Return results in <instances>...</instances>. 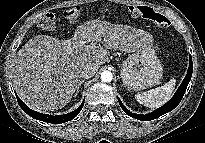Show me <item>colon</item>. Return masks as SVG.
<instances>
[{"label": "colon", "mask_w": 205, "mask_h": 143, "mask_svg": "<svg viewBox=\"0 0 205 143\" xmlns=\"http://www.w3.org/2000/svg\"><path fill=\"white\" fill-rule=\"evenodd\" d=\"M129 13L134 18H141L149 20L160 27H168L170 25V21L163 14L154 11L152 8L148 6H140V5H132L129 7ZM81 15V7L74 5L72 7L67 8L63 12V16L71 23L76 22ZM39 26L44 31H54L56 28V16L53 13L45 14L40 22Z\"/></svg>", "instance_id": "5ec220e1"}]
</instances>
